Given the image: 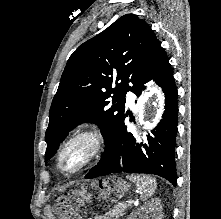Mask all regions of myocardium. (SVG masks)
Here are the masks:
<instances>
[{"instance_id":"f54148a6","label":"myocardium","mask_w":221,"mask_h":219,"mask_svg":"<svg viewBox=\"0 0 221 219\" xmlns=\"http://www.w3.org/2000/svg\"><path fill=\"white\" fill-rule=\"evenodd\" d=\"M78 141L88 143L89 151L81 164L72 171H65L61 166L62 157L71 145ZM104 147V136L99 129L89 128L70 136L59 149L56 156L57 170L63 175H75L91 165L101 154Z\"/></svg>"}]
</instances>
